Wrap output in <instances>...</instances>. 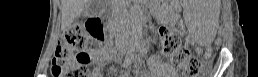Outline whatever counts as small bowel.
Returning <instances> with one entry per match:
<instances>
[{"instance_id": "small-bowel-1", "label": "small bowel", "mask_w": 258, "mask_h": 77, "mask_svg": "<svg viewBox=\"0 0 258 77\" xmlns=\"http://www.w3.org/2000/svg\"><path fill=\"white\" fill-rule=\"evenodd\" d=\"M90 55H91V58L99 64L105 63V62L111 60V58H112L111 54L103 48H96V49L92 50L90 52ZM166 73L172 74L173 71L168 70V71H166Z\"/></svg>"}]
</instances>
